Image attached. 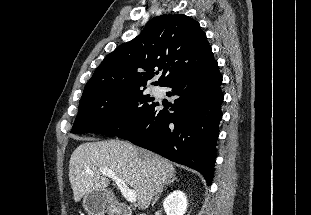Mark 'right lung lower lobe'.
Returning a JSON list of instances; mask_svg holds the SVG:
<instances>
[{"instance_id":"right-lung-lower-lobe-1","label":"right lung lower lobe","mask_w":311,"mask_h":215,"mask_svg":"<svg viewBox=\"0 0 311 215\" xmlns=\"http://www.w3.org/2000/svg\"><path fill=\"white\" fill-rule=\"evenodd\" d=\"M221 84L216 60L173 80L165 86L171 88L168 96L177 97L170 112L155 108L118 137L199 171L210 185L222 118Z\"/></svg>"}]
</instances>
